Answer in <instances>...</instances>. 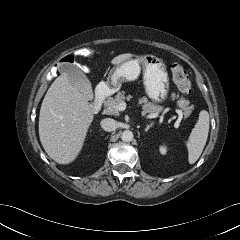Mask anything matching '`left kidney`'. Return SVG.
<instances>
[{
  "instance_id": "1",
  "label": "left kidney",
  "mask_w": 240,
  "mask_h": 240,
  "mask_svg": "<svg viewBox=\"0 0 240 240\" xmlns=\"http://www.w3.org/2000/svg\"><path fill=\"white\" fill-rule=\"evenodd\" d=\"M159 150H160V153L163 154V155L166 154V152H167V148L165 146H163V145L160 146Z\"/></svg>"
}]
</instances>
